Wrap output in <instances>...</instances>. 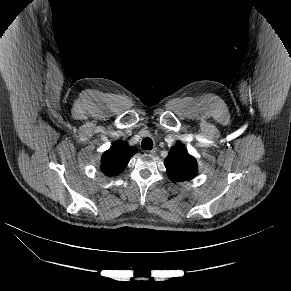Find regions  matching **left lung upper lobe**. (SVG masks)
<instances>
[{"mask_svg":"<svg viewBox=\"0 0 291 291\" xmlns=\"http://www.w3.org/2000/svg\"><path fill=\"white\" fill-rule=\"evenodd\" d=\"M164 164L173 182L192 180L198 172L196 159L189 155L180 142L170 150Z\"/></svg>","mask_w":291,"mask_h":291,"instance_id":"1","label":"left lung upper lobe"}]
</instances>
